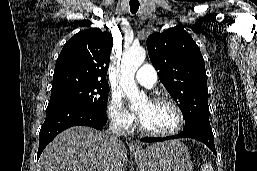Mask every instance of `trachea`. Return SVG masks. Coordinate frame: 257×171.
I'll return each mask as SVG.
<instances>
[{"mask_svg": "<svg viewBox=\"0 0 257 171\" xmlns=\"http://www.w3.org/2000/svg\"><path fill=\"white\" fill-rule=\"evenodd\" d=\"M130 11L132 14H135L139 9V3H130Z\"/></svg>", "mask_w": 257, "mask_h": 171, "instance_id": "3493384b", "label": "trachea"}]
</instances>
